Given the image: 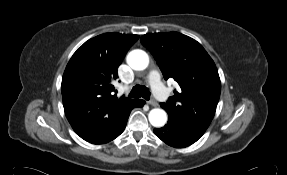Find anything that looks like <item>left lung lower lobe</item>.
<instances>
[{
	"label": "left lung lower lobe",
	"instance_id": "obj_1",
	"mask_svg": "<svg viewBox=\"0 0 287 175\" xmlns=\"http://www.w3.org/2000/svg\"><path fill=\"white\" fill-rule=\"evenodd\" d=\"M155 135L166 144L175 148H184L195 143L200 136L186 130L173 120H169L162 128L154 129Z\"/></svg>",
	"mask_w": 287,
	"mask_h": 175
}]
</instances>
